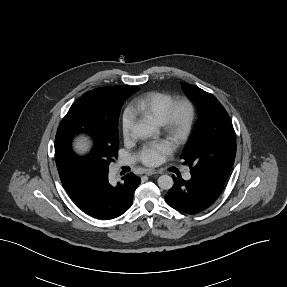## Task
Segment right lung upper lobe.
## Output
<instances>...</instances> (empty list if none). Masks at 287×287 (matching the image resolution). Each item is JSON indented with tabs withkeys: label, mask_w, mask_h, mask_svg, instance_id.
<instances>
[{
	"label": "right lung upper lobe",
	"mask_w": 287,
	"mask_h": 287,
	"mask_svg": "<svg viewBox=\"0 0 287 287\" xmlns=\"http://www.w3.org/2000/svg\"><path fill=\"white\" fill-rule=\"evenodd\" d=\"M132 86H110L109 88L115 89L117 91H123ZM58 170L68 171V172H89L88 167L80 160L75 159L71 156L65 155L60 160L56 161Z\"/></svg>",
	"instance_id": "right-lung-upper-lobe-1"
}]
</instances>
